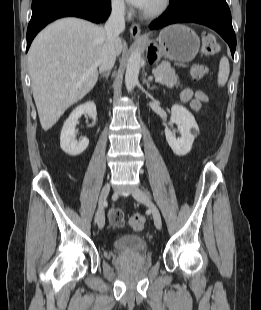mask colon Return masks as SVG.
I'll use <instances>...</instances> for the list:
<instances>
[{
	"instance_id": "1",
	"label": "colon",
	"mask_w": 261,
	"mask_h": 310,
	"mask_svg": "<svg viewBox=\"0 0 261 310\" xmlns=\"http://www.w3.org/2000/svg\"><path fill=\"white\" fill-rule=\"evenodd\" d=\"M219 52V45L211 34H205L203 36L202 42V54L205 57H213ZM206 69L201 64H195L191 68V78L193 80H199L204 76ZM112 210L109 212V219L112 221V227H122L124 225L125 216L123 213L122 208H115L114 206L111 207ZM146 219L140 213L133 214L129 219V224L134 230H141L144 228Z\"/></svg>"
}]
</instances>
